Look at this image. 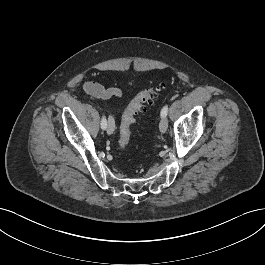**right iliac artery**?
Masks as SVG:
<instances>
[{"instance_id":"1","label":"right iliac artery","mask_w":265,"mask_h":265,"mask_svg":"<svg viewBox=\"0 0 265 265\" xmlns=\"http://www.w3.org/2000/svg\"><path fill=\"white\" fill-rule=\"evenodd\" d=\"M106 127H107V121H106L105 116H103L101 120V128L104 130L106 129Z\"/></svg>"}]
</instances>
